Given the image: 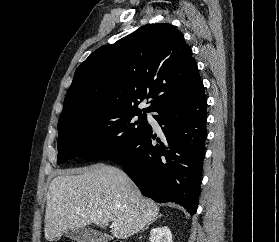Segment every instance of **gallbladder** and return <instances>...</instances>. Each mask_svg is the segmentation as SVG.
Masks as SVG:
<instances>
[{"label": "gallbladder", "instance_id": "1", "mask_svg": "<svg viewBox=\"0 0 279 242\" xmlns=\"http://www.w3.org/2000/svg\"><path fill=\"white\" fill-rule=\"evenodd\" d=\"M64 236L74 242H106L110 236L91 228H74L67 230Z\"/></svg>", "mask_w": 279, "mask_h": 242}]
</instances>
